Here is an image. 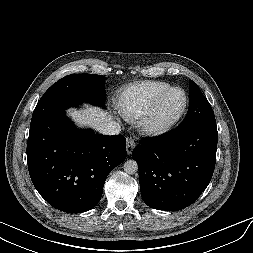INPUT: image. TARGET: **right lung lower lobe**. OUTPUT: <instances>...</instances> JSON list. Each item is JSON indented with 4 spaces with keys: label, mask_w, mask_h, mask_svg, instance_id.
I'll list each match as a JSON object with an SVG mask.
<instances>
[{
    "label": "right lung lower lobe",
    "mask_w": 253,
    "mask_h": 253,
    "mask_svg": "<svg viewBox=\"0 0 253 253\" xmlns=\"http://www.w3.org/2000/svg\"><path fill=\"white\" fill-rule=\"evenodd\" d=\"M125 158L122 135L76 130L65 112L30 125L29 174L39 194L58 210L92 209L102 196L108 174Z\"/></svg>",
    "instance_id": "1"
}]
</instances>
